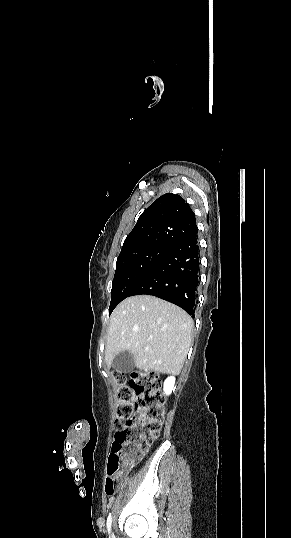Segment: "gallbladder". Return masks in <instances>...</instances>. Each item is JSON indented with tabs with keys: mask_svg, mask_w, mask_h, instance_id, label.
<instances>
[{
	"mask_svg": "<svg viewBox=\"0 0 291 538\" xmlns=\"http://www.w3.org/2000/svg\"><path fill=\"white\" fill-rule=\"evenodd\" d=\"M113 368L119 373H129L135 367L133 354L129 351H122L115 355L112 361Z\"/></svg>",
	"mask_w": 291,
	"mask_h": 538,
	"instance_id": "gallbladder-1",
	"label": "gallbladder"
}]
</instances>
